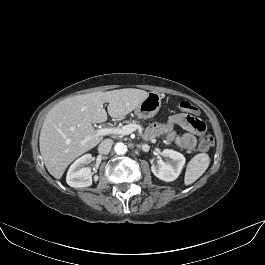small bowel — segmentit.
I'll return each mask as SVG.
<instances>
[{"label":"small bowel","instance_id":"obj_1","mask_svg":"<svg viewBox=\"0 0 265 265\" xmlns=\"http://www.w3.org/2000/svg\"><path fill=\"white\" fill-rule=\"evenodd\" d=\"M175 126H180L186 133L178 134ZM206 126L203 121L193 115L175 114L165 124H154L147 130V137L153 138L163 135L167 141L176 143L185 150H192L196 145V135L205 132Z\"/></svg>","mask_w":265,"mask_h":265}]
</instances>
